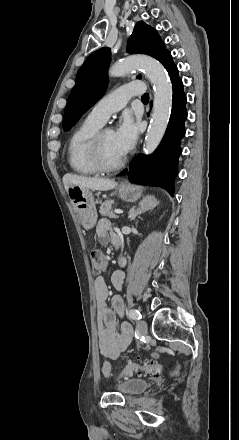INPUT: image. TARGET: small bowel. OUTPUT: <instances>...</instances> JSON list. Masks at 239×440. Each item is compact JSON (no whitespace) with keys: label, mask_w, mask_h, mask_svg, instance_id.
<instances>
[{"label":"small bowel","mask_w":239,"mask_h":440,"mask_svg":"<svg viewBox=\"0 0 239 440\" xmlns=\"http://www.w3.org/2000/svg\"><path fill=\"white\" fill-rule=\"evenodd\" d=\"M97 237L100 243H111L118 246L119 239L111 223L107 219H101L97 226ZM125 274L116 271L112 275V284L121 291ZM97 304V331L99 348L103 356L117 359L126 350L132 339V328L129 323H118L117 317L124 314V303L120 294L111 299V307L107 305L108 288L103 276H98L94 283Z\"/></svg>","instance_id":"small-bowel-1"}]
</instances>
